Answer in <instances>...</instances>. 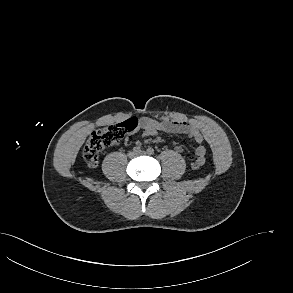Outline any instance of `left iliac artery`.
I'll return each mask as SVG.
<instances>
[{
    "label": "left iliac artery",
    "mask_w": 293,
    "mask_h": 293,
    "mask_svg": "<svg viewBox=\"0 0 293 293\" xmlns=\"http://www.w3.org/2000/svg\"><path fill=\"white\" fill-rule=\"evenodd\" d=\"M147 154H149V155H153V154H154V149L151 148V147H149V148L147 149Z\"/></svg>",
    "instance_id": "obj_1"
}]
</instances>
